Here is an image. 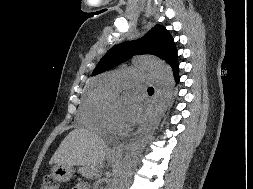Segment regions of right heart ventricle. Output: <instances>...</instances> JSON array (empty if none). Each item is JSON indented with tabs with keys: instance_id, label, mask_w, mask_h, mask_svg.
I'll list each match as a JSON object with an SVG mask.
<instances>
[{
	"instance_id": "right-heart-ventricle-1",
	"label": "right heart ventricle",
	"mask_w": 253,
	"mask_h": 189,
	"mask_svg": "<svg viewBox=\"0 0 253 189\" xmlns=\"http://www.w3.org/2000/svg\"><path fill=\"white\" fill-rule=\"evenodd\" d=\"M111 91L106 82H99L89 89L79 111V121L82 126L98 133L107 131L109 109L106 99Z\"/></svg>"
}]
</instances>
